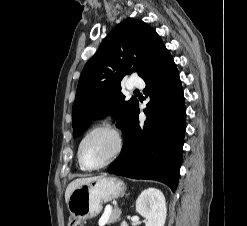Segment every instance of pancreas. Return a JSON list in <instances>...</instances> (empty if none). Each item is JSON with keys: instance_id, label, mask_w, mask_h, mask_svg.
<instances>
[{"instance_id": "pancreas-1", "label": "pancreas", "mask_w": 247, "mask_h": 226, "mask_svg": "<svg viewBox=\"0 0 247 226\" xmlns=\"http://www.w3.org/2000/svg\"><path fill=\"white\" fill-rule=\"evenodd\" d=\"M118 217H119V212L117 209H114L109 217V222L117 221Z\"/></svg>"}]
</instances>
